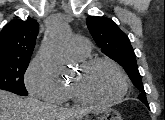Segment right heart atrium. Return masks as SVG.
<instances>
[{"instance_id":"d8ad5b80","label":"right heart atrium","mask_w":165,"mask_h":120,"mask_svg":"<svg viewBox=\"0 0 165 120\" xmlns=\"http://www.w3.org/2000/svg\"><path fill=\"white\" fill-rule=\"evenodd\" d=\"M25 85L34 97L55 103L63 101L64 86L49 73L39 57L30 62L25 75Z\"/></svg>"}]
</instances>
